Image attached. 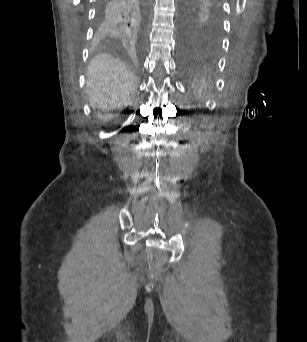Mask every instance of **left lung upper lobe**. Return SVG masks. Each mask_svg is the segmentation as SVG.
Returning <instances> with one entry per match:
<instances>
[{
    "label": "left lung upper lobe",
    "instance_id": "1",
    "mask_svg": "<svg viewBox=\"0 0 307 342\" xmlns=\"http://www.w3.org/2000/svg\"><path fill=\"white\" fill-rule=\"evenodd\" d=\"M181 50L184 54L216 53L222 37L221 0H181Z\"/></svg>",
    "mask_w": 307,
    "mask_h": 342
}]
</instances>
